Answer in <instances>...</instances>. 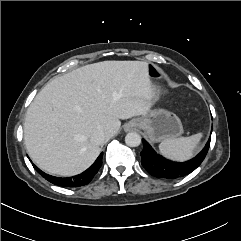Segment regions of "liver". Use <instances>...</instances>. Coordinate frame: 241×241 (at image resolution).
Instances as JSON below:
<instances>
[{"instance_id": "liver-1", "label": "liver", "mask_w": 241, "mask_h": 241, "mask_svg": "<svg viewBox=\"0 0 241 241\" xmlns=\"http://www.w3.org/2000/svg\"><path fill=\"white\" fill-rule=\"evenodd\" d=\"M157 88L143 61H102L52 79L27 109L24 142L43 171L73 176L98 157L91 135L115 136L120 120L145 115Z\"/></svg>"}]
</instances>
